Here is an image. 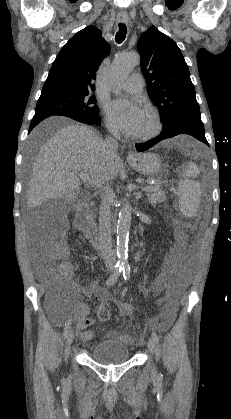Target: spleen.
Returning a JSON list of instances; mask_svg holds the SVG:
<instances>
[{
  "mask_svg": "<svg viewBox=\"0 0 231 419\" xmlns=\"http://www.w3.org/2000/svg\"><path fill=\"white\" fill-rule=\"evenodd\" d=\"M199 175V169L193 162L188 163L184 170L183 178L178 190L180 193L179 207L183 215L192 217L197 213L199 198L201 195L200 184L194 180Z\"/></svg>",
  "mask_w": 231,
  "mask_h": 419,
  "instance_id": "3e777b00",
  "label": "spleen"
}]
</instances>
